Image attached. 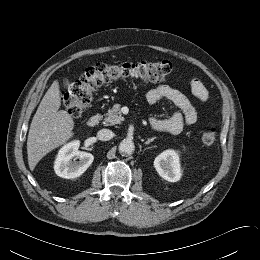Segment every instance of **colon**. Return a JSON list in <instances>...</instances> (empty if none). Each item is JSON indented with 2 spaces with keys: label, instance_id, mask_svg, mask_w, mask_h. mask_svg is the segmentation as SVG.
Instances as JSON below:
<instances>
[{
  "label": "colon",
  "instance_id": "5ec220e1",
  "mask_svg": "<svg viewBox=\"0 0 260 260\" xmlns=\"http://www.w3.org/2000/svg\"><path fill=\"white\" fill-rule=\"evenodd\" d=\"M173 72L169 61H141L121 64H96L85 70L81 78L66 92L62 100L68 113L77 118L94 97L99 86L113 80L135 79L147 83L163 82ZM217 138L215 127L205 129L201 141L212 145Z\"/></svg>",
  "mask_w": 260,
  "mask_h": 260
}]
</instances>
